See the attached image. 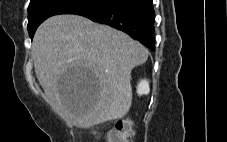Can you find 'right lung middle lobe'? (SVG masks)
Masks as SVG:
<instances>
[{
    "mask_svg": "<svg viewBox=\"0 0 227 142\" xmlns=\"http://www.w3.org/2000/svg\"><path fill=\"white\" fill-rule=\"evenodd\" d=\"M108 0H31L28 7V31L32 38L37 27L58 14H79L102 6Z\"/></svg>",
    "mask_w": 227,
    "mask_h": 142,
    "instance_id": "right-lung-middle-lobe-1",
    "label": "right lung middle lobe"
}]
</instances>
